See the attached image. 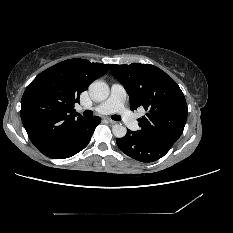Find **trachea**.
I'll use <instances>...</instances> for the list:
<instances>
[{"instance_id":"1","label":"trachea","mask_w":233,"mask_h":233,"mask_svg":"<svg viewBox=\"0 0 233 233\" xmlns=\"http://www.w3.org/2000/svg\"><path fill=\"white\" fill-rule=\"evenodd\" d=\"M92 115H93V112L91 110H85L83 112V116H85V117H91ZM111 118L115 121L121 120V117L119 115H113Z\"/></svg>"}]
</instances>
